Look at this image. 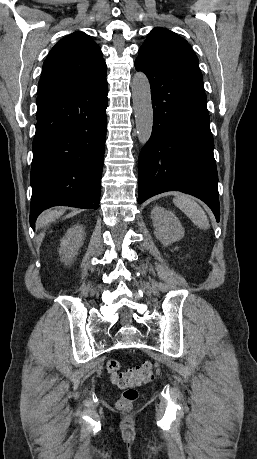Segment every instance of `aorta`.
I'll return each instance as SVG.
<instances>
[{
	"label": "aorta",
	"instance_id": "obj_1",
	"mask_svg": "<svg viewBox=\"0 0 257 459\" xmlns=\"http://www.w3.org/2000/svg\"><path fill=\"white\" fill-rule=\"evenodd\" d=\"M131 88L136 132L140 144L145 145L151 137L153 128L151 89L147 76L143 72H137Z\"/></svg>",
	"mask_w": 257,
	"mask_h": 459
}]
</instances>
